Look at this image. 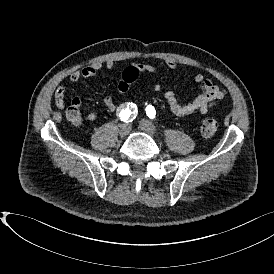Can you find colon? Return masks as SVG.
<instances>
[{
	"label": "colon",
	"mask_w": 274,
	"mask_h": 274,
	"mask_svg": "<svg viewBox=\"0 0 274 274\" xmlns=\"http://www.w3.org/2000/svg\"><path fill=\"white\" fill-rule=\"evenodd\" d=\"M139 76V69L135 66L127 67L123 74L122 79L119 80L116 84V87L119 91L124 92L128 89L129 84L136 80ZM78 108L74 105L68 106L66 109V115L70 121L73 123L78 122ZM217 131V121L213 118H206L201 123V132L205 136L213 135Z\"/></svg>",
	"instance_id": "5ec220e1"
}]
</instances>
